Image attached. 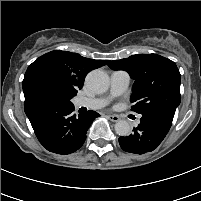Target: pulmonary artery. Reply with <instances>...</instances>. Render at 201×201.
<instances>
[{"mask_svg":"<svg viewBox=\"0 0 201 201\" xmlns=\"http://www.w3.org/2000/svg\"><path fill=\"white\" fill-rule=\"evenodd\" d=\"M130 83V76L126 71H113L110 76L109 94L104 97L95 98H78L75 102L78 107H86L89 109H100L105 107L112 98L123 94Z\"/></svg>","mask_w":201,"mask_h":201,"instance_id":"e3ab8cb5","label":"pulmonary artery"}]
</instances>
